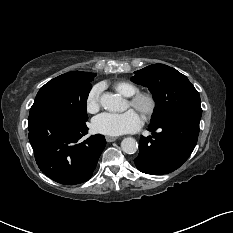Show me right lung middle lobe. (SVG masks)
Returning a JSON list of instances; mask_svg holds the SVG:
<instances>
[{
  "mask_svg": "<svg viewBox=\"0 0 233 233\" xmlns=\"http://www.w3.org/2000/svg\"><path fill=\"white\" fill-rule=\"evenodd\" d=\"M95 73L73 71L41 87L29 113V120L41 114H60L87 121L86 103Z\"/></svg>",
  "mask_w": 233,
  "mask_h": 233,
  "instance_id": "1",
  "label": "right lung middle lobe"
}]
</instances>
